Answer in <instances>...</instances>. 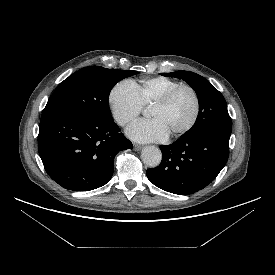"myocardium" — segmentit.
<instances>
[{
	"mask_svg": "<svg viewBox=\"0 0 275 275\" xmlns=\"http://www.w3.org/2000/svg\"><path fill=\"white\" fill-rule=\"evenodd\" d=\"M183 89H186L191 92V94L194 98V102H195V110H194V114H193L191 120L185 127L176 131L175 133L169 135V137L171 139H176V138L183 136L184 134L188 133L196 125V123L199 119L200 113H201V101H200V97H199L197 91L191 85L180 84V85L172 88L171 90H169L164 96H162L159 100H157L152 105V107H157V108H164V107L168 106L171 103V101L173 100V98L176 96V94Z\"/></svg>",
	"mask_w": 275,
	"mask_h": 275,
	"instance_id": "myocardium-1",
	"label": "myocardium"
}]
</instances>
